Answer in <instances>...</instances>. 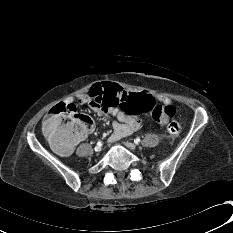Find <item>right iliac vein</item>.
Wrapping results in <instances>:
<instances>
[{
  "instance_id": "1",
  "label": "right iliac vein",
  "mask_w": 233,
  "mask_h": 233,
  "mask_svg": "<svg viewBox=\"0 0 233 233\" xmlns=\"http://www.w3.org/2000/svg\"><path fill=\"white\" fill-rule=\"evenodd\" d=\"M101 149H102L101 146H96V147H95V151H96V152H100Z\"/></svg>"
}]
</instances>
